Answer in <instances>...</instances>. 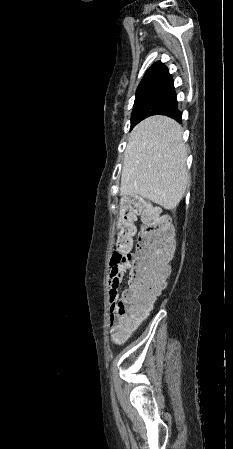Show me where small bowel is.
<instances>
[{
  "label": "small bowel",
  "instance_id": "obj_1",
  "mask_svg": "<svg viewBox=\"0 0 233 449\" xmlns=\"http://www.w3.org/2000/svg\"><path fill=\"white\" fill-rule=\"evenodd\" d=\"M129 268L127 263L114 264L108 277L109 301L111 309H114L120 299V287L125 276L126 270Z\"/></svg>",
  "mask_w": 233,
  "mask_h": 449
}]
</instances>
